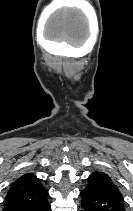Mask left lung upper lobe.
I'll use <instances>...</instances> for the list:
<instances>
[{"mask_svg": "<svg viewBox=\"0 0 133 211\" xmlns=\"http://www.w3.org/2000/svg\"><path fill=\"white\" fill-rule=\"evenodd\" d=\"M87 180V187L123 198L118 190V187L113 183L107 174L103 172H95L91 174Z\"/></svg>", "mask_w": 133, "mask_h": 211, "instance_id": "obj_1", "label": "left lung upper lobe"}]
</instances>
